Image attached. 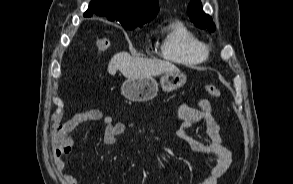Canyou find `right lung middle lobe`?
I'll use <instances>...</instances> for the list:
<instances>
[{
    "instance_id": "right-lung-middle-lobe-1",
    "label": "right lung middle lobe",
    "mask_w": 293,
    "mask_h": 184,
    "mask_svg": "<svg viewBox=\"0 0 293 184\" xmlns=\"http://www.w3.org/2000/svg\"><path fill=\"white\" fill-rule=\"evenodd\" d=\"M144 23H130V24H125V25H122L125 29H129V30H132V29H135L137 27H141Z\"/></svg>"
}]
</instances>
